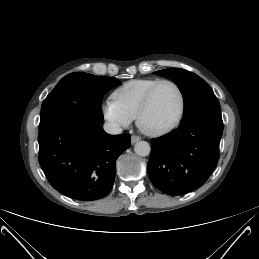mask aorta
Listing matches in <instances>:
<instances>
[{
    "label": "aorta",
    "instance_id": "obj_1",
    "mask_svg": "<svg viewBox=\"0 0 259 259\" xmlns=\"http://www.w3.org/2000/svg\"><path fill=\"white\" fill-rule=\"evenodd\" d=\"M134 151L137 155L145 157L150 154L151 147L150 144L146 141H138L134 145Z\"/></svg>",
    "mask_w": 259,
    "mask_h": 259
}]
</instances>
